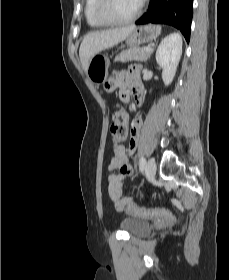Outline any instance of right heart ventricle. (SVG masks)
<instances>
[{"label":"right heart ventricle","instance_id":"e07e8e85","mask_svg":"<svg viewBox=\"0 0 229 280\" xmlns=\"http://www.w3.org/2000/svg\"><path fill=\"white\" fill-rule=\"evenodd\" d=\"M98 0H85V6H84V14L87 21V24L91 28H103L105 25L98 22V20L95 17V9L97 6Z\"/></svg>","mask_w":229,"mask_h":280}]
</instances>
